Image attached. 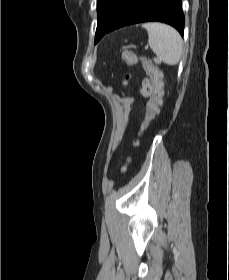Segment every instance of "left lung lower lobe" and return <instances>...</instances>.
<instances>
[{
	"mask_svg": "<svg viewBox=\"0 0 229 280\" xmlns=\"http://www.w3.org/2000/svg\"><path fill=\"white\" fill-rule=\"evenodd\" d=\"M149 21L167 23L183 36L184 14L181 0H129L119 19L106 33L123 26ZM100 39H95V44Z\"/></svg>",
	"mask_w": 229,
	"mask_h": 280,
	"instance_id": "obj_1",
	"label": "left lung lower lobe"
}]
</instances>
